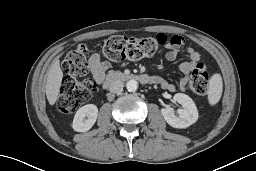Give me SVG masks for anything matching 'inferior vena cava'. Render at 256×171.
<instances>
[{
  "label": "inferior vena cava",
  "instance_id": "obj_1",
  "mask_svg": "<svg viewBox=\"0 0 256 171\" xmlns=\"http://www.w3.org/2000/svg\"><path fill=\"white\" fill-rule=\"evenodd\" d=\"M123 83L119 80H115L108 85V89L112 93H120L123 90Z\"/></svg>",
  "mask_w": 256,
  "mask_h": 171
}]
</instances>
